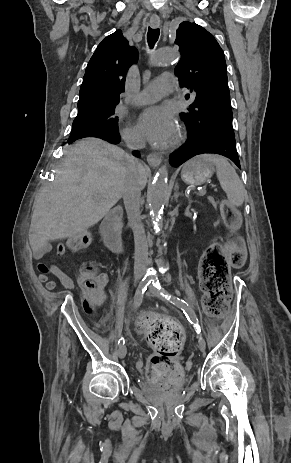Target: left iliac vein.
I'll use <instances>...</instances> for the list:
<instances>
[{
  "instance_id": "1",
  "label": "left iliac vein",
  "mask_w": 291,
  "mask_h": 463,
  "mask_svg": "<svg viewBox=\"0 0 291 463\" xmlns=\"http://www.w3.org/2000/svg\"><path fill=\"white\" fill-rule=\"evenodd\" d=\"M149 295H152V296H156L158 297L159 299L165 301V302H168L166 299H164L156 289L154 288H150V291L148 292ZM198 347H199V350L201 352H204L205 351V348H206V342L204 340V338L202 336H199V341H198Z\"/></svg>"
}]
</instances>
